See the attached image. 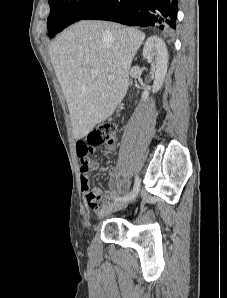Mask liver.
Segmentation results:
<instances>
[{"mask_svg":"<svg viewBox=\"0 0 227 298\" xmlns=\"http://www.w3.org/2000/svg\"><path fill=\"white\" fill-rule=\"evenodd\" d=\"M144 39L138 29L82 20L50 44L49 55L68 104L75 139L87 136L121 103L132 60ZM91 70L100 74L92 76Z\"/></svg>","mask_w":227,"mask_h":298,"instance_id":"1","label":"liver"}]
</instances>
